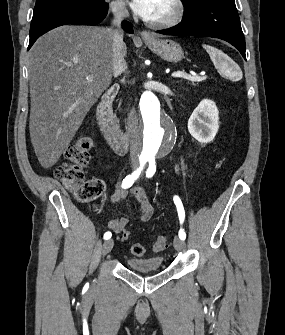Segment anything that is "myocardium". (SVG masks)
I'll use <instances>...</instances> for the list:
<instances>
[{
	"label": "myocardium",
	"instance_id": "1",
	"mask_svg": "<svg viewBox=\"0 0 285 335\" xmlns=\"http://www.w3.org/2000/svg\"><path fill=\"white\" fill-rule=\"evenodd\" d=\"M171 12L162 20L152 22L151 27L155 29H165L177 24L184 16L183 1H168Z\"/></svg>",
	"mask_w": 285,
	"mask_h": 335
}]
</instances>
